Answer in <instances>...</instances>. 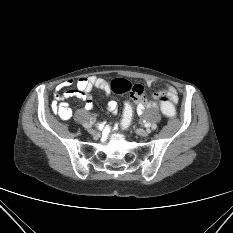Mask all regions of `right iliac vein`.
Listing matches in <instances>:
<instances>
[{
	"label": "right iliac vein",
	"mask_w": 233,
	"mask_h": 233,
	"mask_svg": "<svg viewBox=\"0 0 233 233\" xmlns=\"http://www.w3.org/2000/svg\"><path fill=\"white\" fill-rule=\"evenodd\" d=\"M88 132H89L91 135H94V136H97V135H98V132H97L94 128H89V129H88Z\"/></svg>",
	"instance_id": "right-iliac-vein-1"
}]
</instances>
